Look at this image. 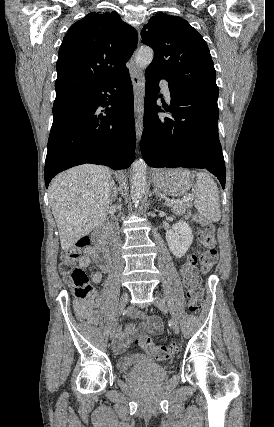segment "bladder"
<instances>
[{
    "label": "bladder",
    "instance_id": "31cf9c89",
    "mask_svg": "<svg viewBox=\"0 0 274 427\" xmlns=\"http://www.w3.org/2000/svg\"><path fill=\"white\" fill-rule=\"evenodd\" d=\"M148 361L146 355L134 354L130 356H118L117 365L121 372H127L130 369L141 368L140 362ZM150 362L151 366L158 367L156 362Z\"/></svg>",
    "mask_w": 274,
    "mask_h": 427
}]
</instances>
